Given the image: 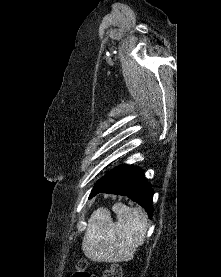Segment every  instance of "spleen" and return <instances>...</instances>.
<instances>
[{
    "instance_id": "1",
    "label": "spleen",
    "mask_w": 221,
    "mask_h": 277,
    "mask_svg": "<svg viewBox=\"0 0 221 277\" xmlns=\"http://www.w3.org/2000/svg\"><path fill=\"white\" fill-rule=\"evenodd\" d=\"M112 209L117 215L115 223L103 209L94 212L88 220L82 249L85 256L94 261H129L136 248L144 243L147 218L142 209L120 203Z\"/></svg>"
}]
</instances>
